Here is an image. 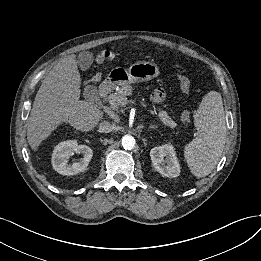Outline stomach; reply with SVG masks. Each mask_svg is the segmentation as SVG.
<instances>
[{"label": "stomach", "mask_w": 261, "mask_h": 261, "mask_svg": "<svg viewBox=\"0 0 261 261\" xmlns=\"http://www.w3.org/2000/svg\"><path fill=\"white\" fill-rule=\"evenodd\" d=\"M160 75L158 66L150 62H136L128 69L115 68L109 75V79L116 85H128L137 82L150 81Z\"/></svg>", "instance_id": "0dacf381"}]
</instances>
